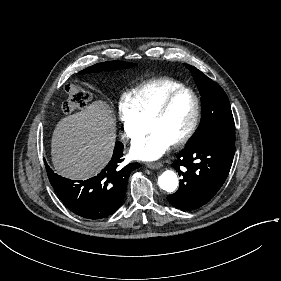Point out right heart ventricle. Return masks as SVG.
Returning a JSON list of instances; mask_svg holds the SVG:
<instances>
[{"instance_id": "right-heart-ventricle-1", "label": "right heart ventricle", "mask_w": 281, "mask_h": 281, "mask_svg": "<svg viewBox=\"0 0 281 281\" xmlns=\"http://www.w3.org/2000/svg\"><path fill=\"white\" fill-rule=\"evenodd\" d=\"M183 88L185 85L177 80L163 79L128 94L126 98L144 122L169 95Z\"/></svg>"}]
</instances>
